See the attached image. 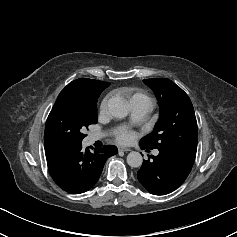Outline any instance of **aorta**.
Listing matches in <instances>:
<instances>
[{
    "mask_svg": "<svg viewBox=\"0 0 237 237\" xmlns=\"http://www.w3.org/2000/svg\"><path fill=\"white\" fill-rule=\"evenodd\" d=\"M108 110L116 118H124L129 113L127 103L120 97H112L108 100ZM143 163L142 155L139 152L132 151L127 155V164L130 167L137 168Z\"/></svg>",
    "mask_w": 237,
    "mask_h": 237,
    "instance_id": "obj_1",
    "label": "aorta"
}]
</instances>
